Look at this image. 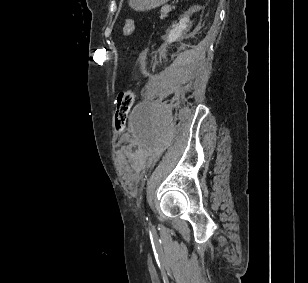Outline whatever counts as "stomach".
<instances>
[{
    "mask_svg": "<svg viewBox=\"0 0 308 283\" xmlns=\"http://www.w3.org/2000/svg\"><path fill=\"white\" fill-rule=\"evenodd\" d=\"M169 0H129V5L136 11H148L159 7Z\"/></svg>",
    "mask_w": 308,
    "mask_h": 283,
    "instance_id": "1",
    "label": "stomach"
}]
</instances>
